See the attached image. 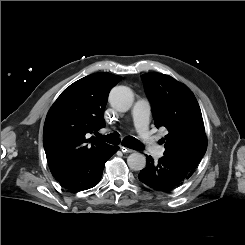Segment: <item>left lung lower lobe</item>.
<instances>
[{
    "instance_id": "left-lung-lower-lobe-1",
    "label": "left lung lower lobe",
    "mask_w": 245,
    "mask_h": 245,
    "mask_svg": "<svg viewBox=\"0 0 245 245\" xmlns=\"http://www.w3.org/2000/svg\"><path fill=\"white\" fill-rule=\"evenodd\" d=\"M147 164L138 174V178L145 185L158 191H171L182 185L195 172L196 168L187 166L168 156H163L154 163L151 156H147Z\"/></svg>"
}]
</instances>
